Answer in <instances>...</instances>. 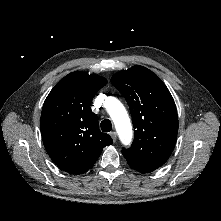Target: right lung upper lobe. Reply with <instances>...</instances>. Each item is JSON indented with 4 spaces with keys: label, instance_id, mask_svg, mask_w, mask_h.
Instances as JSON below:
<instances>
[{
    "label": "right lung upper lobe",
    "instance_id": "obj_1",
    "mask_svg": "<svg viewBox=\"0 0 221 221\" xmlns=\"http://www.w3.org/2000/svg\"><path fill=\"white\" fill-rule=\"evenodd\" d=\"M107 80L76 71L62 78L47 96L41 113V134L52 161L70 174L88 171L112 138L98 127L91 110L95 94Z\"/></svg>",
    "mask_w": 221,
    "mask_h": 221
}]
</instances>
